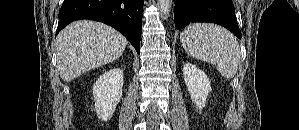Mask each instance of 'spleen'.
<instances>
[{
	"mask_svg": "<svg viewBox=\"0 0 299 130\" xmlns=\"http://www.w3.org/2000/svg\"><path fill=\"white\" fill-rule=\"evenodd\" d=\"M186 53L215 65L226 79H232L238 70L241 52L232 33L221 26L209 23H193L180 34Z\"/></svg>",
	"mask_w": 299,
	"mask_h": 130,
	"instance_id": "spleen-1",
	"label": "spleen"
}]
</instances>
